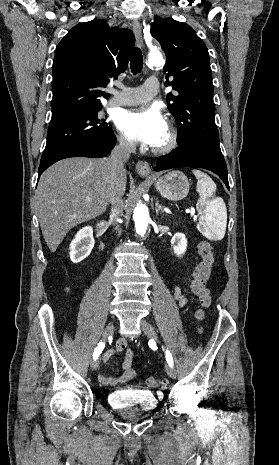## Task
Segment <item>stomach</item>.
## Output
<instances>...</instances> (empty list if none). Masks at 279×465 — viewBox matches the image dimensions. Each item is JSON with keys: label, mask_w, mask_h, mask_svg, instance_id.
I'll use <instances>...</instances> for the list:
<instances>
[{"label": "stomach", "mask_w": 279, "mask_h": 465, "mask_svg": "<svg viewBox=\"0 0 279 465\" xmlns=\"http://www.w3.org/2000/svg\"><path fill=\"white\" fill-rule=\"evenodd\" d=\"M156 190L168 200H181L189 192V182L181 171H171L154 182Z\"/></svg>", "instance_id": "0dacf381"}]
</instances>
